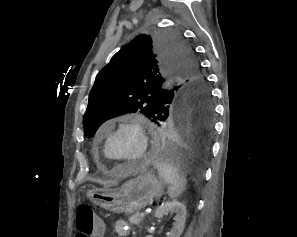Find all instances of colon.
<instances>
[{
	"label": "colon",
	"instance_id": "colon-1",
	"mask_svg": "<svg viewBox=\"0 0 297 237\" xmlns=\"http://www.w3.org/2000/svg\"><path fill=\"white\" fill-rule=\"evenodd\" d=\"M77 237H94L98 230V222L90 205L82 203L76 211Z\"/></svg>",
	"mask_w": 297,
	"mask_h": 237
}]
</instances>
